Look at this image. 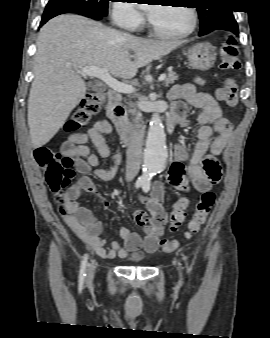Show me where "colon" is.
<instances>
[{
	"instance_id": "colon-1",
	"label": "colon",
	"mask_w": 270,
	"mask_h": 338,
	"mask_svg": "<svg viewBox=\"0 0 270 338\" xmlns=\"http://www.w3.org/2000/svg\"><path fill=\"white\" fill-rule=\"evenodd\" d=\"M221 54L223 57L222 68L226 70H238L241 66L238 55L239 50L235 37L228 36L221 43ZM219 98L228 106L233 107L237 104V89L235 81L232 78L227 79L219 90ZM106 98L103 93L93 92L81 101L75 109L68 126L76 129L86 124L90 118L99 113L105 105ZM219 130L229 127L226 119H221L218 124ZM34 157L36 163L45 172V180L49 190L53 193L62 192L73 180L75 173L72 168L73 160L70 157H60L50 148L42 146L35 150ZM203 169L217 177L220 168L217 162L212 158H206L203 161ZM215 202V194L211 191L205 192L197 202L195 211L188 224L186 237H190L199 232L201 226L205 223ZM188 202L184 198H180L170 211L171 230L176 231L185 218V211ZM149 219V215L143 213L140 217V223L143 224ZM177 246L176 241L172 239H163L161 241V249L165 253L173 251Z\"/></svg>"
}]
</instances>
